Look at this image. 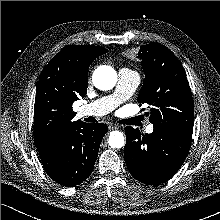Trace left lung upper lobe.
<instances>
[{"instance_id": "obj_1", "label": "left lung upper lobe", "mask_w": 220, "mask_h": 220, "mask_svg": "<svg viewBox=\"0 0 220 220\" xmlns=\"http://www.w3.org/2000/svg\"><path fill=\"white\" fill-rule=\"evenodd\" d=\"M138 55L145 73L138 101L150 106L146 112L150 122L154 127L175 125L193 130V99L180 61L159 43L142 46Z\"/></svg>"}]
</instances>
